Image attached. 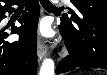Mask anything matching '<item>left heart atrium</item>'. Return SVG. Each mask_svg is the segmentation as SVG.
<instances>
[{"mask_svg":"<svg viewBox=\"0 0 107 75\" xmlns=\"http://www.w3.org/2000/svg\"><path fill=\"white\" fill-rule=\"evenodd\" d=\"M40 34L44 37H50L52 35V31L50 25L46 21H42L39 25Z\"/></svg>","mask_w":107,"mask_h":75,"instance_id":"obj_1","label":"left heart atrium"}]
</instances>
